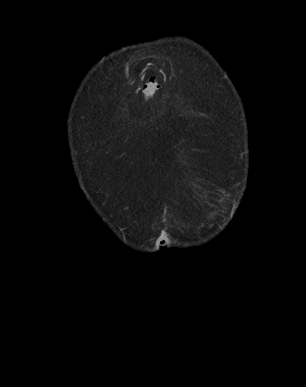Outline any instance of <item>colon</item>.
I'll use <instances>...</instances> for the list:
<instances>
[{
    "label": "colon",
    "instance_id": "1",
    "mask_svg": "<svg viewBox=\"0 0 306 387\" xmlns=\"http://www.w3.org/2000/svg\"><path fill=\"white\" fill-rule=\"evenodd\" d=\"M159 88V83L156 80H149L144 85L143 92L147 97H152L158 92Z\"/></svg>",
    "mask_w": 306,
    "mask_h": 387
}]
</instances>
